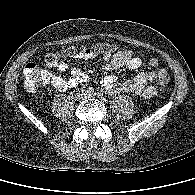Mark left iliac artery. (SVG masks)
Returning a JSON list of instances; mask_svg holds the SVG:
<instances>
[{"label":"left iliac artery","instance_id":"obj_1","mask_svg":"<svg viewBox=\"0 0 195 195\" xmlns=\"http://www.w3.org/2000/svg\"><path fill=\"white\" fill-rule=\"evenodd\" d=\"M98 94H99L101 97L103 96V93H102V92H99Z\"/></svg>","mask_w":195,"mask_h":195}]
</instances>
